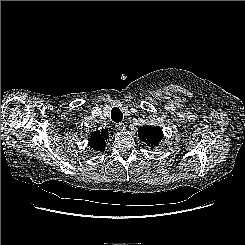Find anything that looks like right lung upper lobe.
Listing matches in <instances>:
<instances>
[{"label":"right lung upper lobe","instance_id":"obj_1","mask_svg":"<svg viewBox=\"0 0 245 245\" xmlns=\"http://www.w3.org/2000/svg\"><path fill=\"white\" fill-rule=\"evenodd\" d=\"M109 138L107 129L101 132L97 131L91 134L88 145L96 151L103 152L106 146V141Z\"/></svg>","mask_w":245,"mask_h":245}]
</instances>
